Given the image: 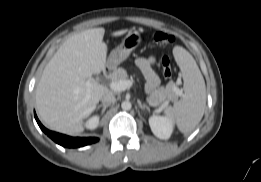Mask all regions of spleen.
Wrapping results in <instances>:
<instances>
[{"instance_id": "3e777b00", "label": "spleen", "mask_w": 261, "mask_h": 182, "mask_svg": "<svg viewBox=\"0 0 261 182\" xmlns=\"http://www.w3.org/2000/svg\"><path fill=\"white\" fill-rule=\"evenodd\" d=\"M173 55L184 80V94L181 100L165 109V115L176 122L182 133L187 134L196 128L204 115L205 81L196 61L186 49L176 46L173 49Z\"/></svg>"}]
</instances>
